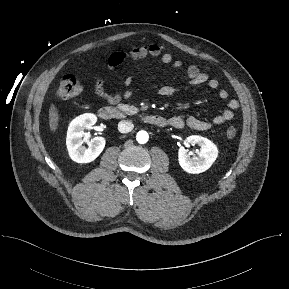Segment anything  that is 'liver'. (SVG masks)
Listing matches in <instances>:
<instances>
[{
	"instance_id": "liver-1",
	"label": "liver",
	"mask_w": 289,
	"mask_h": 289,
	"mask_svg": "<svg viewBox=\"0 0 289 289\" xmlns=\"http://www.w3.org/2000/svg\"><path fill=\"white\" fill-rule=\"evenodd\" d=\"M59 125V112L54 104L49 108V129L51 132H55Z\"/></svg>"
}]
</instances>
